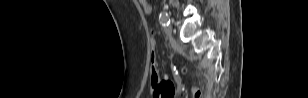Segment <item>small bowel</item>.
Here are the masks:
<instances>
[{"label":"small bowel","mask_w":308,"mask_h":98,"mask_svg":"<svg viewBox=\"0 0 308 98\" xmlns=\"http://www.w3.org/2000/svg\"><path fill=\"white\" fill-rule=\"evenodd\" d=\"M139 3L145 14H150L152 12V6L148 0H139Z\"/></svg>","instance_id":"small-bowel-1"}]
</instances>
